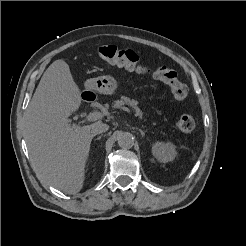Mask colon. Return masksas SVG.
<instances>
[{"label": "colon", "instance_id": "obj_1", "mask_svg": "<svg viewBox=\"0 0 246 246\" xmlns=\"http://www.w3.org/2000/svg\"><path fill=\"white\" fill-rule=\"evenodd\" d=\"M99 57L114 66L137 72H146L147 68L141 65L138 55L132 50L120 49L115 45H105L99 49ZM155 79L165 83L176 100H183L187 96V86L182 83L177 73L166 66H160L152 71ZM195 119L190 114L181 115L175 126L179 131L189 133L195 128Z\"/></svg>", "mask_w": 246, "mask_h": 246}]
</instances>
